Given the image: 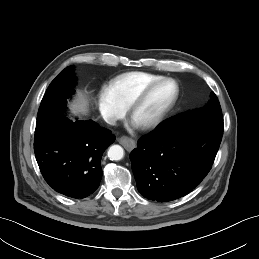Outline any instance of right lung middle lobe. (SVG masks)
<instances>
[{"label":"right lung middle lobe","mask_w":259,"mask_h":259,"mask_svg":"<svg viewBox=\"0 0 259 259\" xmlns=\"http://www.w3.org/2000/svg\"><path fill=\"white\" fill-rule=\"evenodd\" d=\"M73 66L66 67L49 85L41 101L36 130L43 127L55 115H61L66 107V99L74 93L76 84Z\"/></svg>","instance_id":"dd1d6c3e"}]
</instances>
